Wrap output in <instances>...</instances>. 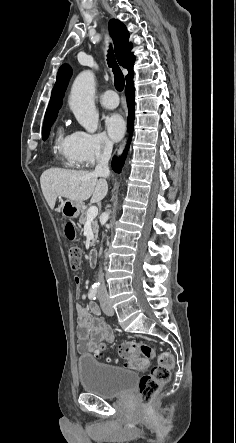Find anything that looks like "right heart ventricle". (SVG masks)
Instances as JSON below:
<instances>
[{
  "instance_id": "1",
  "label": "right heart ventricle",
  "mask_w": 236,
  "mask_h": 443,
  "mask_svg": "<svg viewBox=\"0 0 236 443\" xmlns=\"http://www.w3.org/2000/svg\"><path fill=\"white\" fill-rule=\"evenodd\" d=\"M54 145L64 165L76 167L79 164L72 155L71 135H64L62 129H59L55 137Z\"/></svg>"
}]
</instances>
